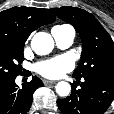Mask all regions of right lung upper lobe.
I'll return each instance as SVG.
<instances>
[{"mask_svg":"<svg viewBox=\"0 0 114 114\" xmlns=\"http://www.w3.org/2000/svg\"><path fill=\"white\" fill-rule=\"evenodd\" d=\"M55 19L49 9L13 7L0 12V37L25 44L31 32Z\"/></svg>","mask_w":114,"mask_h":114,"instance_id":"right-lung-upper-lobe-1","label":"right lung upper lobe"}]
</instances>
